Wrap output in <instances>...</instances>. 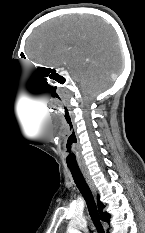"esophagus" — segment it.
Segmentation results:
<instances>
[{"mask_svg": "<svg viewBox=\"0 0 145 233\" xmlns=\"http://www.w3.org/2000/svg\"><path fill=\"white\" fill-rule=\"evenodd\" d=\"M82 173H83V176L87 182V184L89 185L90 189L92 190V192L95 194L96 193V190H95V187H94V184H93V181H92V178L88 172L87 169H84L82 168L81 169Z\"/></svg>", "mask_w": 145, "mask_h": 233, "instance_id": "obj_1", "label": "esophagus"}]
</instances>
